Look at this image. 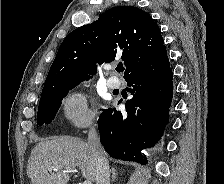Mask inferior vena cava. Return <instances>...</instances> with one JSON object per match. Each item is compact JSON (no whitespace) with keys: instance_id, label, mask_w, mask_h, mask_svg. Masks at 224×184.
Returning <instances> with one entry per match:
<instances>
[{"instance_id":"1","label":"inferior vena cava","mask_w":224,"mask_h":184,"mask_svg":"<svg viewBox=\"0 0 224 184\" xmlns=\"http://www.w3.org/2000/svg\"><path fill=\"white\" fill-rule=\"evenodd\" d=\"M88 145L95 159L96 184H110L109 163L94 126H90Z\"/></svg>"}]
</instances>
